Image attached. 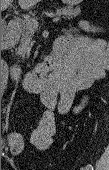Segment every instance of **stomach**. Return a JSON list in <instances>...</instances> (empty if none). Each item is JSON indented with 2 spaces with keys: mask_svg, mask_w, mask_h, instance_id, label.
<instances>
[{
  "mask_svg": "<svg viewBox=\"0 0 109 170\" xmlns=\"http://www.w3.org/2000/svg\"><path fill=\"white\" fill-rule=\"evenodd\" d=\"M82 1L83 0H63V2L68 5V7L79 5Z\"/></svg>",
  "mask_w": 109,
  "mask_h": 170,
  "instance_id": "stomach-1",
  "label": "stomach"
}]
</instances>
